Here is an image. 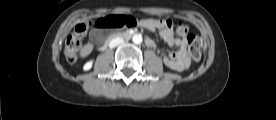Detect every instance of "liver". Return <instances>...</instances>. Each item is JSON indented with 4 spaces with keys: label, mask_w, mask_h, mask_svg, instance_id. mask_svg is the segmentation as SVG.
<instances>
[{
    "label": "liver",
    "mask_w": 276,
    "mask_h": 120,
    "mask_svg": "<svg viewBox=\"0 0 276 120\" xmlns=\"http://www.w3.org/2000/svg\"><path fill=\"white\" fill-rule=\"evenodd\" d=\"M92 50V45L85 46L81 51V56H86Z\"/></svg>",
    "instance_id": "6515ba94"
}]
</instances>
